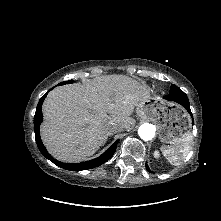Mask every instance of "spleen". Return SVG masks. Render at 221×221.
Returning <instances> with one entry per match:
<instances>
[{"label":"spleen","mask_w":221,"mask_h":221,"mask_svg":"<svg viewBox=\"0 0 221 221\" xmlns=\"http://www.w3.org/2000/svg\"><path fill=\"white\" fill-rule=\"evenodd\" d=\"M192 137L191 132H187L182 138L173 143V145L161 147L163 155L172 165H179L187 157L190 152Z\"/></svg>","instance_id":"3e777b00"}]
</instances>
